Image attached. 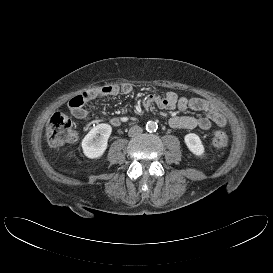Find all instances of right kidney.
Segmentation results:
<instances>
[{
	"instance_id": "1",
	"label": "right kidney",
	"mask_w": 273,
	"mask_h": 273,
	"mask_svg": "<svg viewBox=\"0 0 273 273\" xmlns=\"http://www.w3.org/2000/svg\"><path fill=\"white\" fill-rule=\"evenodd\" d=\"M112 127L109 124H98L93 127L82 141L83 153L90 159L101 157L107 149Z\"/></svg>"
}]
</instances>
